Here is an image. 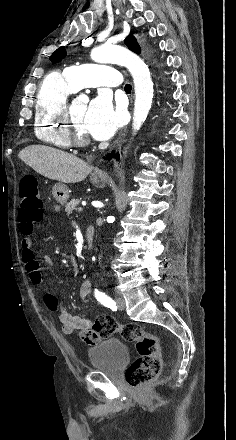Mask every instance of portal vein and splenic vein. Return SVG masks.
<instances>
[{
    "instance_id": "18ae733b",
    "label": "portal vein and splenic vein",
    "mask_w": 236,
    "mask_h": 440,
    "mask_svg": "<svg viewBox=\"0 0 236 440\" xmlns=\"http://www.w3.org/2000/svg\"><path fill=\"white\" fill-rule=\"evenodd\" d=\"M82 210H83V208H82V207H79V208H78V211H79V212H81Z\"/></svg>"
}]
</instances>
